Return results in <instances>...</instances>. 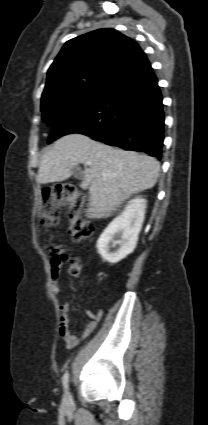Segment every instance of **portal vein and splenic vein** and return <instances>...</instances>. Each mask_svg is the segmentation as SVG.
Segmentation results:
<instances>
[{"mask_svg":"<svg viewBox=\"0 0 208 425\" xmlns=\"http://www.w3.org/2000/svg\"><path fill=\"white\" fill-rule=\"evenodd\" d=\"M85 164L88 165V166H91L92 163L91 162H86Z\"/></svg>","mask_w":208,"mask_h":425,"instance_id":"1","label":"portal vein and splenic vein"}]
</instances>
